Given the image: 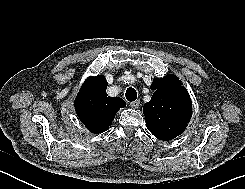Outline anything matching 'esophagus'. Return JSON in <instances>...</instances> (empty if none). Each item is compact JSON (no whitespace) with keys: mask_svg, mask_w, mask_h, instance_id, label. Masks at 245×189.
I'll use <instances>...</instances> for the list:
<instances>
[{"mask_svg":"<svg viewBox=\"0 0 245 189\" xmlns=\"http://www.w3.org/2000/svg\"><path fill=\"white\" fill-rule=\"evenodd\" d=\"M139 105H140V100H135V101L130 102V106L134 109H137Z\"/></svg>","mask_w":245,"mask_h":189,"instance_id":"1","label":"esophagus"}]
</instances>
